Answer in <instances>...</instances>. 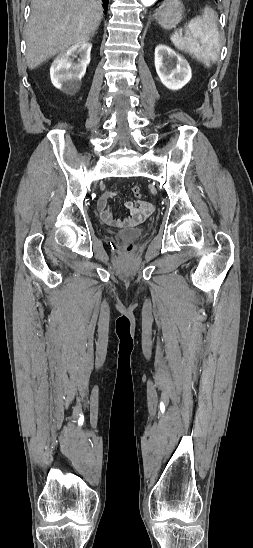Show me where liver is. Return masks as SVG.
<instances>
[{"label":"liver","instance_id":"1","mask_svg":"<svg viewBox=\"0 0 253 548\" xmlns=\"http://www.w3.org/2000/svg\"><path fill=\"white\" fill-rule=\"evenodd\" d=\"M103 17L101 0H32L27 24L26 61L30 69L87 42Z\"/></svg>","mask_w":253,"mask_h":548}]
</instances>
